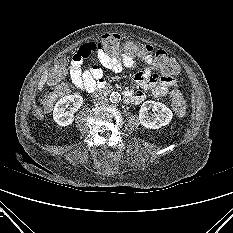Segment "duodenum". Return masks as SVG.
<instances>
[{
  "label": "duodenum",
  "instance_id": "1",
  "mask_svg": "<svg viewBox=\"0 0 233 233\" xmlns=\"http://www.w3.org/2000/svg\"><path fill=\"white\" fill-rule=\"evenodd\" d=\"M111 92V89L107 86H103L99 89H97V95L99 96H106Z\"/></svg>",
  "mask_w": 233,
  "mask_h": 233
}]
</instances>
